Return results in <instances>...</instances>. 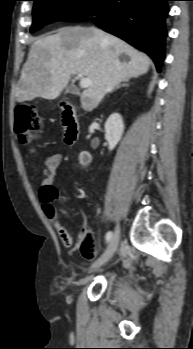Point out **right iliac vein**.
Returning <instances> with one entry per match:
<instances>
[{
	"label": "right iliac vein",
	"mask_w": 193,
	"mask_h": 349,
	"mask_svg": "<svg viewBox=\"0 0 193 349\" xmlns=\"http://www.w3.org/2000/svg\"><path fill=\"white\" fill-rule=\"evenodd\" d=\"M120 241V227L119 225L117 226L109 244L107 249L105 250V252L100 256V258L98 260H96L90 267V271H93L97 268H99L100 266H102L104 263H106L115 253L118 244Z\"/></svg>",
	"instance_id": "63e3f726"
}]
</instances>
